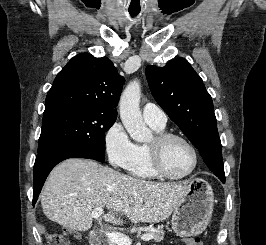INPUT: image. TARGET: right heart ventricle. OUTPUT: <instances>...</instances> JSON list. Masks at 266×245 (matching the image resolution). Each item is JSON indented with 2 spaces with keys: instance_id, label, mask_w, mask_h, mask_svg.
<instances>
[{
  "instance_id": "e07e8e85",
  "label": "right heart ventricle",
  "mask_w": 266,
  "mask_h": 245,
  "mask_svg": "<svg viewBox=\"0 0 266 245\" xmlns=\"http://www.w3.org/2000/svg\"><path fill=\"white\" fill-rule=\"evenodd\" d=\"M157 133L163 132L165 126L149 124ZM132 176L142 181L153 182L159 179L154 173L148 157L147 145H138V152L135 162L130 170Z\"/></svg>"
}]
</instances>
